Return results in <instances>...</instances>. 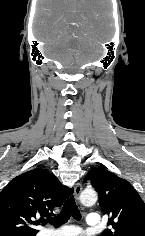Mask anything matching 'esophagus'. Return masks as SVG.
<instances>
[{
    "label": "esophagus",
    "mask_w": 145,
    "mask_h": 236,
    "mask_svg": "<svg viewBox=\"0 0 145 236\" xmlns=\"http://www.w3.org/2000/svg\"><path fill=\"white\" fill-rule=\"evenodd\" d=\"M82 191V186L80 183H77L75 188H74V196H75V199L78 200L79 199V196H80V193Z\"/></svg>",
    "instance_id": "obj_1"
}]
</instances>
